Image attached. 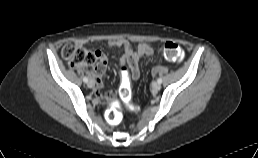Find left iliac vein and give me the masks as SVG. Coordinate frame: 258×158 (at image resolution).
<instances>
[{
    "label": "left iliac vein",
    "mask_w": 258,
    "mask_h": 158,
    "mask_svg": "<svg viewBox=\"0 0 258 158\" xmlns=\"http://www.w3.org/2000/svg\"><path fill=\"white\" fill-rule=\"evenodd\" d=\"M160 88H161L160 83H158V82H153V83H152V89H153L154 91H159Z\"/></svg>",
    "instance_id": "obj_1"
}]
</instances>
